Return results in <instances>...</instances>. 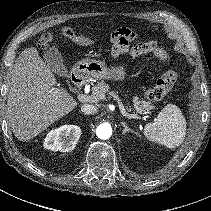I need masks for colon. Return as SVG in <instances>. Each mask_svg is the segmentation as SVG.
Here are the masks:
<instances>
[{
    "mask_svg": "<svg viewBox=\"0 0 211 211\" xmlns=\"http://www.w3.org/2000/svg\"><path fill=\"white\" fill-rule=\"evenodd\" d=\"M62 34L78 44L84 43V38L70 27H64L62 29ZM135 39V34L130 30H118L115 33V40L112 45V55L115 56L122 52H129L132 55L152 52L159 59H167V53L159 48L156 42L135 44ZM51 42L52 36L50 34H44L38 40V47L41 50H48L51 47ZM177 76L178 73L175 69H168L156 81L154 87L146 92V99L152 102L162 100L174 86Z\"/></svg>",
    "mask_w": 211,
    "mask_h": 211,
    "instance_id": "1",
    "label": "colon"
}]
</instances>
